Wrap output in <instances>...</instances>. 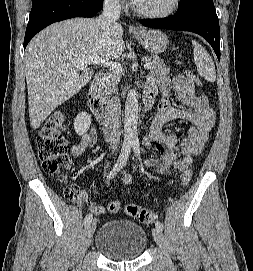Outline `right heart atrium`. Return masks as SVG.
<instances>
[{
  "label": "right heart atrium",
  "instance_id": "right-heart-atrium-1",
  "mask_svg": "<svg viewBox=\"0 0 253 271\" xmlns=\"http://www.w3.org/2000/svg\"><path fill=\"white\" fill-rule=\"evenodd\" d=\"M107 1L114 5H123L126 2V0H107Z\"/></svg>",
  "mask_w": 253,
  "mask_h": 271
}]
</instances>
